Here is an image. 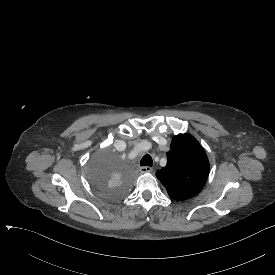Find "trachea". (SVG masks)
Here are the masks:
<instances>
[{"instance_id": "1", "label": "trachea", "mask_w": 275, "mask_h": 275, "mask_svg": "<svg viewBox=\"0 0 275 275\" xmlns=\"http://www.w3.org/2000/svg\"><path fill=\"white\" fill-rule=\"evenodd\" d=\"M153 160L150 155L146 154L140 161V166H152Z\"/></svg>"}]
</instances>
